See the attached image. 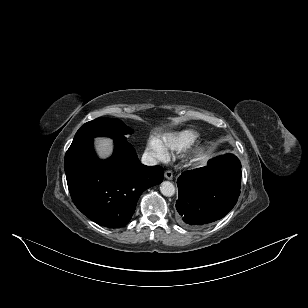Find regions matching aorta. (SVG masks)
<instances>
[{"instance_id":"762f6f07","label":"aorta","mask_w":308,"mask_h":308,"mask_svg":"<svg viewBox=\"0 0 308 308\" xmlns=\"http://www.w3.org/2000/svg\"><path fill=\"white\" fill-rule=\"evenodd\" d=\"M160 191L164 196L170 197V196L174 195L175 187H174L173 183H171L169 181H164V182L161 183Z\"/></svg>"}]
</instances>
